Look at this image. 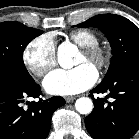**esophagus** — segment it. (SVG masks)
<instances>
[{
    "mask_svg": "<svg viewBox=\"0 0 139 139\" xmlns=\"http://www.w3.org/2000/svg\"><path fill=\"white\" fill-rule=\"evenodd\" d=\"M75 99H76L75 96H67V97H65V101L67 103H70V102L74 101Z\"/></svg>",
    "mask_w": 139,
    "mask_h": 139,
    "instance_id": "34e87169",
    "label": "esophagus"
}]
</instances>
